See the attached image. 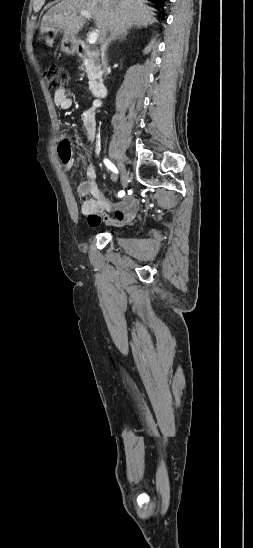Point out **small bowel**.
Here are the masks:
<instances>
[{
    "mask_svg": "<svg viewBox=\"0 0 253 548\" xmlns=\"http://www.w3.org/2000/svg\"><path fill=\"white\" fill-rule=\"evenodd\" d=\"M55 105L61 110L71 108L73 101L64 89L56 91L54 94ZM101 107L100 101H95L90 109L84 115V130L88 146L91 148L97 140V121L96 111ZM62 142V141H61ZM63 165L66 169L74 166L71 158H64L59 151ZM88 155V151L86 153ZM87 180L82 182L77 192L82 198L81 211L88 216V222L91 227H97L102 221L107 225L117 226L130 222L138 213L140 202L135 197L129 196L118 203H113L106 199L103 191L97 182V170L93 166L86 169ZM109 212H115V217L108 215Z\"/></svg>",
    "mask_w": 253,
    "mask_h": 548,
    "instance_id": "c3829d8e",
    "label": "small bowel"
}]
</instances>
